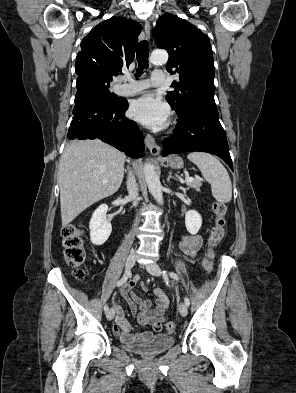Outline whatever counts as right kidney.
I'll list each match as a JSON object with an SVG mask.
<instances>
[{"instance_id":"1","label":"right kidney","mask_w":296,"mask_h":393,"mask_svg":"<svg viewBox=\"0 0 296 393\" xmlns=\"http://www.w3.org/2000/svg\"><path fill=\"white\" fill-rule=\"evenodd\" d=\"M107 212L108 206L102 204L94 211L90 220V239L94 245L104 244L112 232L111 223L106 218Z\"/></svg>"}]
</instances>
